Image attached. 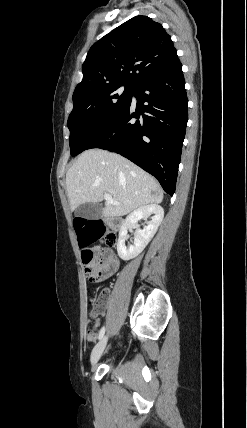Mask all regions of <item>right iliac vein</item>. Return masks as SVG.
Here are the masks:
<instances>
[{"label":"right iliac vein","instance_id":"right-iliac-vein-1","mask_svg":"<svg viewBox=\"0 0 247 428\" xmlns=\"http://www.w3.org/2000/svg\"><path fill=\"white\" fill-rule=\"evenodd\" d=\"M107 340H108V337L104 336L94 347V349L91 353V359H90L92 366L96 365V363L99 361V359H100V357H101V355H102V353L106 347Z\"/></svg>","mask_w":247,"mask_h":428}]
</instances>
